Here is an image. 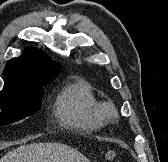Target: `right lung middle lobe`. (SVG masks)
I'll list each match as a JSON object with an SVG mask.
<instances>
[{"mask_svg": "<svg viewBox=\"0 0 168 162\" xmlns=\"http://www.w3.org/2000/svg\"><path fill=\"white\" fill-rule=\"evenodd\" d=\"M49 82H28L0 93V126L20 121L36 113L43 98L42 86Z\"/></svg>", "mask_w": 168, "mask_h": 162, "instance_id": "1", "label": "right lung middle lobe"}]
</instances>
